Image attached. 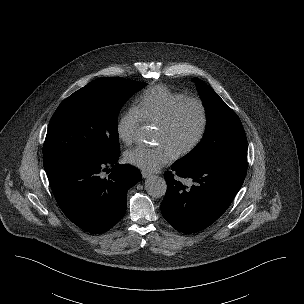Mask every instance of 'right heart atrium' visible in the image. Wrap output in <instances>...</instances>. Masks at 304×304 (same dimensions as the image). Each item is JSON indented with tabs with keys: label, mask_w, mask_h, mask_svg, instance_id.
<instances>
[{
	"label": "right heart atrium",
	"mask_w": 304,
	"mask_h": 304,
	"mask_svg": "<svg viewBox=\"0 0 304 304\" xmlns=\"http://www.w3.org/2000/svg\"><path fill=\"white\" fill-rule=\"evenodd\" d=\"M141 123V115L135 107H131L125 111L119 118L116 126L117 135L120 140L130 145L134 141L135 134Z\"/></svg>",
	"instance_id": "right-heart-atrium-1"
}]
</instances>
